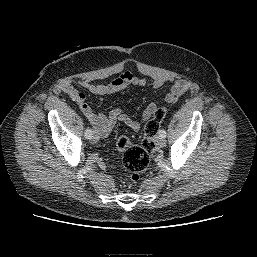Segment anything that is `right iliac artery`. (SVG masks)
<instances>
[{
    "label": "right iliac artery",
    "mask_w": 257,
    "mask_h": 257,
    "mask_svg": "<svg viewBox=\"0 0 257 257\" xmlns=\"http://www.w3.org/2000/svg\"><path fill=\"white\" fill-rule=\"evenodd\" d=\"M92 137V130L88 127L86 130H85V138L86 139H90Z\"/></svg>",
    "instance_id": "right-iliac-artery-1"
}]
</instances>
